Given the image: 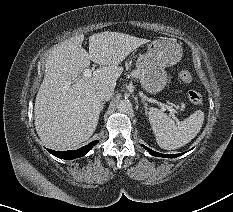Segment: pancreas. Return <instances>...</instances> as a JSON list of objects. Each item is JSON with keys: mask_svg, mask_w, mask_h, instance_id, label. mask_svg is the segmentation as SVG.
I'll return each instance as SVG.
<instances>
[{"mask_svg": "<svg viewBox=\"0 0 233 212\" xmlns=\"http://www.w3.org/2000/svg\"><path fill=\"white\" fill-rule=\"evenodd\" d=\"M131 76H132V77L138 78V77H139L138 71H137V70L133 71V72L131 73Z\"/></svg>", "mask_w": 233, "mask_h": 212, "instance_id": "cf45deb5", "label": "pancreas"}]
</instances>
